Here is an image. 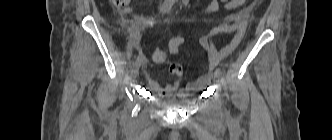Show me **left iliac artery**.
<instances>
[{
	"label": "left iliac artery",
	"mask_w": 332,
	"mask_h": 140,
	"mask_svg": "<svg viewBox=\"0 0 332 140\" xmlns=\"http://www.w3.org/2000/svg\"><path fill=\"white\" fill-rule=\"evenodd\" d=\"M182 1H183V3H184L186 6H187L188 3H189V0H182ZM216 73H218V74H220V75L223 74L221 68H217V69H216Z\"/></svg>",
	"instance_id": "44dca946"
}]
</instances>
